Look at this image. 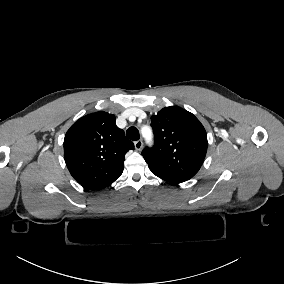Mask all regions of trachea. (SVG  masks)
Here are the masks:
<instances>
[{
  "mask_svg": "<svg viewBox=\"0 0 284 284\" xmlns=\"http://www.w3.org/2000/svg\"><path fill=\"white\" fill-rule=\"evenodd\" d=\"M126 136L132 141H137L140 137L138 129L134 126L128 128V130L126 131Z\"/></svg>",
  "mask_w": 284,
  "mask_h": 284,
  "instance_id": "1",
  "label": "trachea"
}]
</instances>
